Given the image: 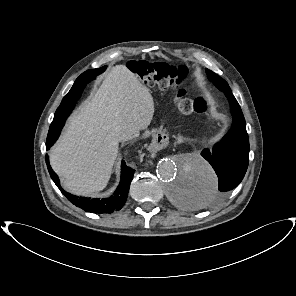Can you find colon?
Here are the masks:
<instances>
[{
	"label": "colon",
	"mask_w": 296,
	"mask_h": 296,
	"mask_svg": "<svg viewBox=\"0 0 296 296\" xmlns=\"http://www.w3.org/2000/svg\"><path fill=\"white\" fill-rule=\"evenodd\" d=\"M129 69L147 85L176 90V104L181 114L204 113L209 104L203 98L191 99L181 87L186 76L184 67L170 66L166 63H149L147 61H130Z\"/></svg>",
	"instance_id": "1"
}]
</instances>
